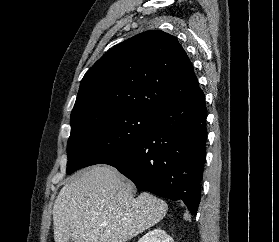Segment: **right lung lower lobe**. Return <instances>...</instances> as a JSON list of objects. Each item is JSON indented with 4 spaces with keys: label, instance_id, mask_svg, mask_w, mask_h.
Listing matches in <instances>:
<instances>
[{
    "label": "right lung lower lobe",
    "instance_id": "right-lung-lower-lobe-1",
    "mask_svg": "<svg viewBox=\"0 0 279 242\" xmlns=\"http://www.w3.org/2000/svg\"><path fill=\"white\" fill-rule=\"evenodd\" d=\"M207 109L204 93L156 113L154 128L128 149L103 160L146 190L183 200L196 214L206 155Z\"/></svg>",
    "mask_w": 279,
    "mask_h": 242
}]
</instances>
